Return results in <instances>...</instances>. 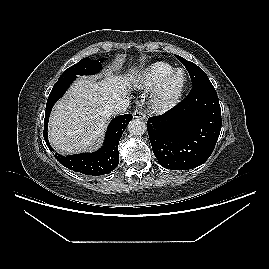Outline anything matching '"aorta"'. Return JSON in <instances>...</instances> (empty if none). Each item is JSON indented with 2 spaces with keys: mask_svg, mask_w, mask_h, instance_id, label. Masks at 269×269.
Wrapping results in <instances>:
<instances>
[{
  "mask_svg": "<svg viewBox=\"0 0 269 269\" xmlns=\"http://www.w3.org/2000/svg\"><path fill=\"white\" fill-rule=\"evenodd\" d=\"M147 126L144 121H141L139 119H133L128 124V130L130 134L139 136L146 132Z\"/></svg>",
  "mask_w": 269,
  "mask_h": 269,
  "instance_id": "obj_1",
  "label": "aorta"
}]
</instances>
